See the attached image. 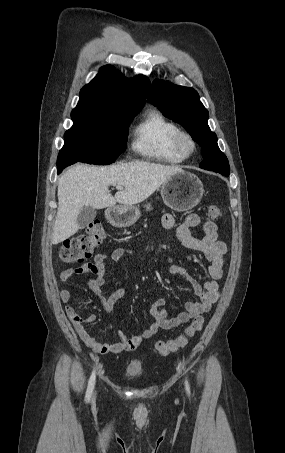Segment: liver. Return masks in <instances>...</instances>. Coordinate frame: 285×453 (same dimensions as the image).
<instances>
[{
  "instance_id": "liver-1",
  "label": "liver",
  "mask_w": 285,
  "mask_h": 453,
  "mask_svg": "<svg viewBox=\"0 0 285 453\" xmlns=\"http://www.w3.org/2000/svg\"><path fill=\"white\" fill-rule=\"evenodd\" d=\"M183 171L178 166H165L144 161H132L112 166L78 164L58 180V211L52 244L56 245L77 233L80 209L125 207L138 204L152 195L170 176ZM123 189L113 197L109 186Z\"/></svg>"
}]
</instances>
